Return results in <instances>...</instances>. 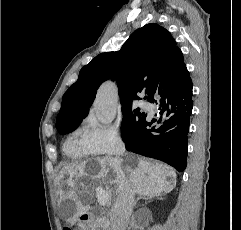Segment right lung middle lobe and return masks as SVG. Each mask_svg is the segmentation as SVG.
<instances>
[{
    "mask_svg": "<svg viewBox=\"0 0 241 230\" xmlns=\"http://www.w3.org/2000/svg\"><path fill=\"white\" fill-rule=\"evenodd\" d=\"M140 109L137 108L132 112L131 106L122 107L123 123H122V138L123 141L127 140L131 131L136 128L146 117L145 113H140ZM76 127H72L63 131H59L61 134H67L73 131Z\"/></svg>",
    "mask_w": 241,
    "mask_h": 230,
    "instance_id": "1",
    "label": "right lung middle lobe"
}]
</instances>
